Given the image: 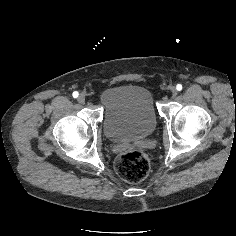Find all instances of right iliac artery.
Segmentation results:
<instances>
[{
  "label": "right iliac artery",
  "mask_w": 236,
  "mask_h": 236,
  "mask_svg": "<svg viewBox=\"0 0 236 236\" xmlns=\"http://www.w3.org/2000/svg\"><path fill=\"white\" fill-rule=\"evenodd\" d=\"M72 96H73L74 98H77V97L79 96V93H78L77 91H75V92H73Z\"/></svg>",
  "instance_id": "1"
}]
</instances>
